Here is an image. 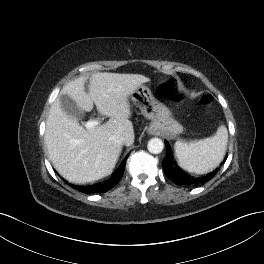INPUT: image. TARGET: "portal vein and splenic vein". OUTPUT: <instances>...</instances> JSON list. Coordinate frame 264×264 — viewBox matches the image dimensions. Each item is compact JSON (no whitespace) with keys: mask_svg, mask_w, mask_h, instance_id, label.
Segmentation results:
<instances>
[{"mask_svg":"<svg viewBox=\"0 0 264 264\" xmlns=\"http://www.w3.org/2000/svg\"><path fill=\"white\" fill-rule=\"evenodd\" d=\"M100 123H101V121L97 120V119L89 120L88 122H86L85 127L87 129H92V128L96 127L97 125H99Z\"/></svg>","mask_w":264,"mask_h":264,"instance_id":"18ae733b","label":"portal vein and splenic vein"}]
</instances>
